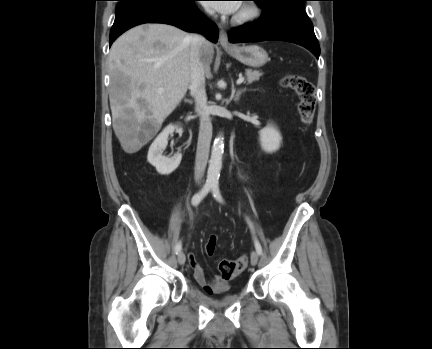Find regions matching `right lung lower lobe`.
I'll return each mask as SVG.
<instances>
[{"mask_svg": "<svg viewBox=\"0 0 432 349\" xmlns=\"http://www.w3.org/2000/svg\"><path fill=\"white\" fill-rule=\"evenodd\" d=\"M197 0H124L116 9L110 33L111 44L126 30L144 23L174 25L189 32H200L216 42L218 28L195 5Z\"/></svg>", "mask_w": 432, "mask_h": 349, "instance_id": "right-lung-lower-lobe-1", "label": "right lung lower lobe"}]
</instances>
